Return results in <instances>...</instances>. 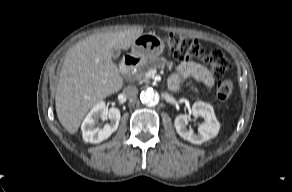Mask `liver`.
<instances>
[{"mask_svg": "<svg viewBox=\"0 0 292 192\" xmlns=\"http://www.w3.org/2000/svg\"><path fill=\"white\" fill-rule=\"evenodd\" d=\"M143 29L91 35L65 55L56 89L55 106L61 125L71 134L78 131L87 112L118 92L123 78L112 61V49L128 50Z\"/></svg>", "mask_w": 292, "mask_h": 192, "instance_id": "obj_1", "label": "liver"}]
</instances>
